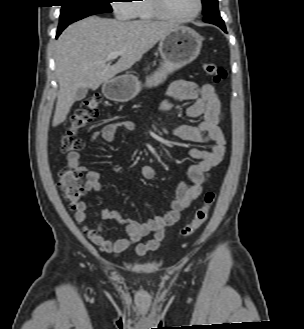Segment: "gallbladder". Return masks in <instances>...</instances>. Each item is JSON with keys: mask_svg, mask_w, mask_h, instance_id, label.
<instances>
[{"mask_svg": "<svg viewBox=\"0 0 304 329\" xmlns=\"http://www.w3.org/2000/svg\"><path fill=\"white\" fill-rule=\"evenodd\" d=\"M88 89L81 87L77 90L76 92V101H81L82 99H84L87 95Z\"/></svg>", "mask_w": 304, "mask_h": 329, "instance_id": "bac80fb5", "label": "gallbladder"}]
</instances>
